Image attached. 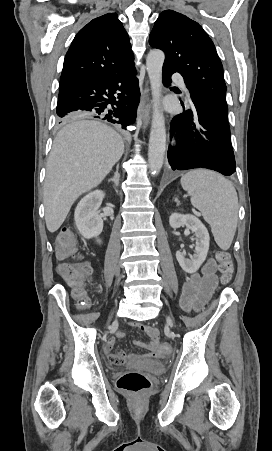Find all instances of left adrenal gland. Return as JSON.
I'll use <instances>...</instances> for the list:
<instances>
[{
  "mask_svg": "<svg viewBox=\"0 0 272 451\" xmlns=\"http://www.w3.org/2000/svg\"><path fill=\"white\" fill-rule=\"evenodd\" d=\"M174 202H178V198H175Z\"/></svg>",
  "mask_w": 272,
  "mask_h": 451,
  "instance_id": "left-adrenal-gland-1",
  "label": "left adrenal gland"
}]
</instances>
